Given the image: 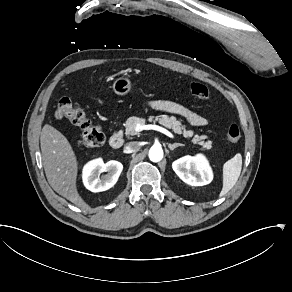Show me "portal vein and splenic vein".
<instances>
[{"label":"portal vein and splenic vein","mask_w":292,"mask_h":292,"mask_svg":"<svg viewBox=\"0 0 292 292\" xmlns=\"http://www.w3.org/2000/svg\"><path fill=\"white\" fill-rule=\"evenodd\" d=\"M134 130L136 132H141L143 130H156V131L162 132L163 134L167 135L171 139H175V136L170 131H168L165 128L158 126V125H144V126H142L140 124H136L134 127Z\"/></svg>","instance_id":"18ae733b"}]
</instances>
